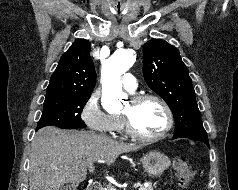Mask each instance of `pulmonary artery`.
Returning <instances> with one entry per match:
<instances>
[{"label": "pulmonary artery", "instance_id": "e3ab8cb5", "mask_svg": "<svg viewBox=\"0 0 238 190\" xmlns=\"http://www.w3.org/2000/svg\"><path fill=\"white\" fill-rule=\"evenodd\" d=\"M122 84L125 90L133 93L137 89V81L134 75L126 73L122 78Z\"/></svg>", "mask_w": 238, "mask_h": 190}]
</instances>
